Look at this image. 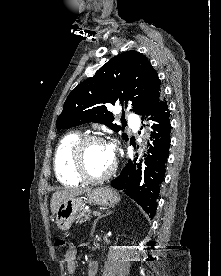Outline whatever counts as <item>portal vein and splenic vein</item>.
Listing matches in <instances>:
<instances>
[{
    "label": "portal vein and splenic vein",
    "instance_id": "1",
    "mask_svg": "<svg viewBox=\"0 0 221 276\" xmlns=\"http://www.w3.org/2000/svg\"><path fill=\"white\" fill-rule=\"evenodd\" d=\"M93 215H94V216H99V215H100V212L93 211Z\"/></svg>",
    "mask_w": 221,
    "mask_h": 276
}]
</instances>
